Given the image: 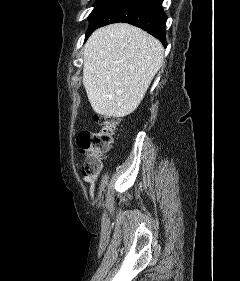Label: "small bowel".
<instances>
[{
  "label": "small bowel",
  "instance_id": "small-bowel-1",
  "mask_svg": "<svg viewBox=\"0 0 240 281\" xmlns=\"http://www.w3.org/2000/svg\"><path fill=\"white\" fill-rule=\"evenodd\" d=\"M96 176H97V174H95V175H86V174H84L83 179L86 182H93V181L96 180Z\"/></svg>",
  "mask_w": 240,
  "mask_h": 281
}]
</instances>
